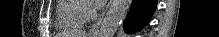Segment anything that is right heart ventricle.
Masks as SVG:
<instances>
[{
	"label": "right heart ventricle",
	"mask_w": 219,
	"mask_h": 37,
	"mask_svg": "<svg viewBox=\"0 0 219 37\" xmlns=\"http://www.w3.org/2000/svg\"><path fill=\"white\" fill-rule=\"evenodd\" d=\"M85 4L80 0H61L57 7V25L61 29L81 28L85 19L83 11Z\"/></svg>",
	"instance_id": "1"
}]
</instances>
